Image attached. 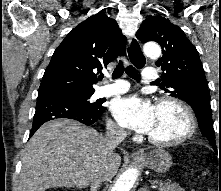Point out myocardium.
I'll use <instances>...</instances> for the list:
<instances>
[{
  "label": "myocardium",
  "instance_id": "myocardium-1",
  "mask_svg": "<svg viewBox=\"0 0 221 191\" xmlns=\"http://www.w3.org/2000/svg\"><path fill=\"white\" fill-rule=\"evenodd\" d=\"M166 104L173 105L182 111L186 119V128L180 136L173 139H157L155 137H152L151 135H148V140L149 142L157 146H177L188 141L195 134L197 129L196 117L192 109L184 101L177 97L163 96L160 97L156 103L157 108Z\"/></svg>",
  "mask_w": 221,
  "mask_h": 191
}]
</instances>
